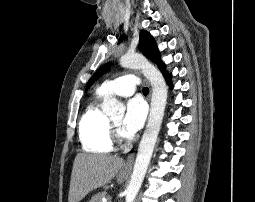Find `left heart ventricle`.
Instances as JSON below:
<instances>
[{
	"instance_id": "1",
	"label": "left heart ventricle",
	"mask_w": 255,
	"mask_h": 202,
	"mask_svg": "<svg viewBox=\"0 0 255 202\" xmlns=\"http://www.w3.org/2000/svg\"><path fill=\"white\" fill-rule=\"evenodd\" d=\"M113 122L119 126L121 128V125H122V117H117L115 119H113ZM122 130V129H121Z\"/></svg>"
}]
</instances>
